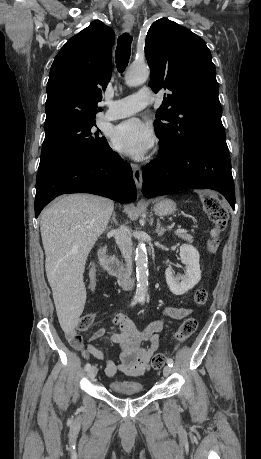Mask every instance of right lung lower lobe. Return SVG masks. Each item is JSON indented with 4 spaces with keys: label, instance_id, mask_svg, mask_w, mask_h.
<instances>
[{
    "label": "right lung lower lobe",
    "instance_id": "98d812e1",
    "mask_svg": "<svg viewBox=\"0 0 261 459\" xmlns=\"http://www.w3.org/2000/svg\"><path fill=\"white\" fill-rule=\"evenodd\" d=\"M91 193L118 202L136 200L132 170L109 145L100 155L63 162L37 176L35 217L55 197Z\"/></svg>",
    "mask_w": 261,
    "mask_h": 459
}]
</instances>
